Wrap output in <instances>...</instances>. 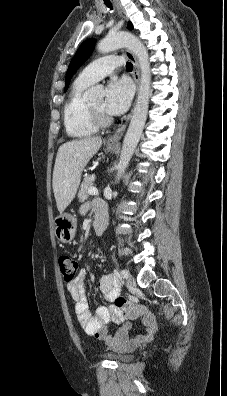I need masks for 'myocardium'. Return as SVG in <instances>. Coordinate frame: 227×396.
<instances>
[{"instance_id":"myocardium-1","label":"myocardium","mask_w":227,"mask_h":396,"mask_svg":"<svg viewBox=\"0 0 227 396\" xmlns=\"http://www.w3.org/2000/svg\"><path fill=\"white\" fill-rule=\"evenodd\" d=\"M89 110L93 121L98 127H106L111 123V118L103 110H99L89 103Z\"/></svg>"}]
</instances>
